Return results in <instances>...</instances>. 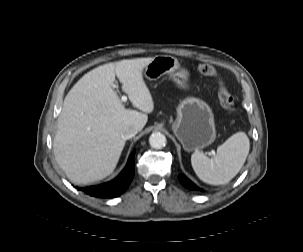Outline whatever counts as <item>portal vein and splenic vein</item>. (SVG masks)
<instances>
[{
	"mask_svg": "<svg viewBox=\"0 0 303 252\" xmlns=\"http://www.w3.org/2000/svg\"><path fill=\"white\" fill-rule=\"evenodd\" d=\"M121 100H122L123 102H126V101H127V96L123 95L122 98H121Z\"/></svg>",
	"mask_w": 303,
	"mask_h": 252,
	"instance_id": "obj_1",
	"label": "portal vein and splenic vein"
}]
</instances>
